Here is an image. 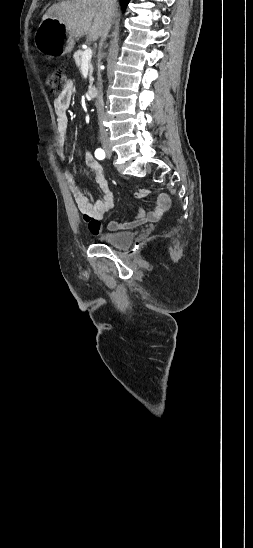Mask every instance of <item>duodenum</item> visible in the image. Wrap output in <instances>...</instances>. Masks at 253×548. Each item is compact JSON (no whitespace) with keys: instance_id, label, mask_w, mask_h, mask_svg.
Wrapping results in <instances>:
<instances>
[{"instance_id":"obj_1","label":"duodenum","mask_w":253,"mask_h":548,"mask_svg":"<svg viewBox=\"0 0 253 548\" xmlns=\"http://www.w3.org/2000/svg\"><path fill=\"white\" fill-rule=\"evenodd\" d=\"M87 94L89 98H95L98 94L97 88L94 86H91L88 88Z\"/></svg>"}]
</instances>
